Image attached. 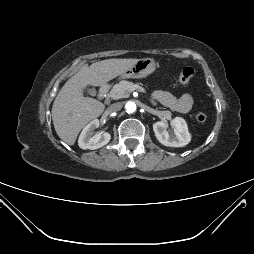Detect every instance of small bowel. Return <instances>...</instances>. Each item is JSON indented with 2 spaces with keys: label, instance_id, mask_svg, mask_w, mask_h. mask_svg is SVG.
Returning a JSON list of instances; mask_svg holds the SVG:
<instances>
[{
  "label": "small bowel",
  "instance_id": "small-bowel-1",
  "mask_svg": "<svg viewBox=\"0 0 254 254\" xmlns=\"http://www.w3.org/2000/svg\"><path fill=\"white\" fill-rule=\"evenodd\" d=\"M152 97L164 106L181 113L188 112L193 105V98L190 94L176 97L167 91L157 90L153 93Z\"/></svg>",
  "mask_w": 254,
  "mask_h": 254
}]
</instances>
